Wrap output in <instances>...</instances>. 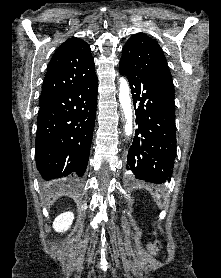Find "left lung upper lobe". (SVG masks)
Listing matches in <instances>:
<instances>
[{
	"label": "left lung upper lobe",
	"mask_w": 221,
	"mask_h": 278,
	"mask_svg": "<svg viewBox=\"0 0 221 278\" xmlns=\"http://www.w3.org/2000/svg\"><path fill=\"white\" fill-rule=\"evenodd\" d=\"M120 69L144 78L163 80L173 86L161 47L144 33H137L128 39L122 50Z\"/></svg>",
	"instance_id": "1"
}]
</instances>
